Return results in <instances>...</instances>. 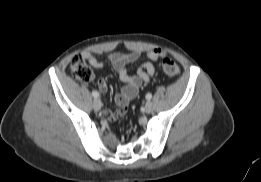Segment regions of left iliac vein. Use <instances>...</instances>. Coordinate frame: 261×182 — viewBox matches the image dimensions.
<instances>
[{
  "instance_id": "4c4485c4",
  "label": "left iliac vein",
  "mask_w": 261,
  "mask_h": 182,
  "mask_svg": "<svg viewBox=\"0 0 261 182\" xmlns=\"http://www.w3.org/2000/svg\"><path fill=\"white\" fill-rule=\"evenodd\" d=\"M144 110H145V112L148 113V114L151 113V112L153 111V105H152V103H151V102H147V103L145 104Z\"/></svg>"
}]
</instances>
